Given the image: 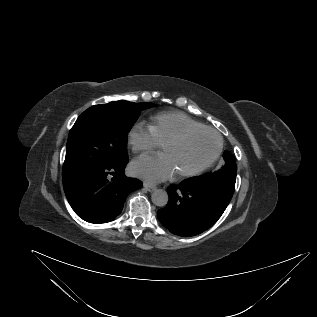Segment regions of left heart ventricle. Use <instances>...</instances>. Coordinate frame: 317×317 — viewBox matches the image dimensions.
<instances>
[{"label": "left heart ventricle", "instance_id": "left-heart-ventricle-1", "mask_svg": "<svg viewBox=\"0 0 317 317\" xmlns=\"http://www.w3.org/2000/svg\"><path fill=\"white\" fill-rule=\"evenodd\" d=\"M217 137L208 132L196 133L183 142L162 148L176 173L190 171L206 162L215 152Z\"/></svg>", "mask_w": 317, "mask_h": 317}]
</instances>
